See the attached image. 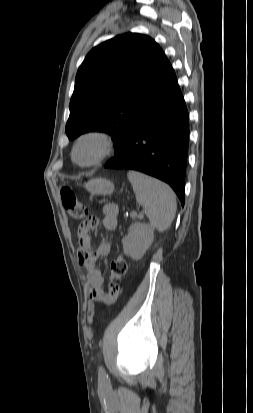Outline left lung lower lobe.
I'll return each mask as SVG.
<instances>
[{
  "mask_svg": "<svg viewBox=\"0 0 253 413\" xmlns=\"http://www.w3.org/2000/svg\"><path fill=\"white\" fill-rule=\"evenodd\" d=\"M189 115L170 66L129 121L119 154L105 168L133 169L168 183L184 205Z\"/></svg>",
  "mask_w": 253,
  "mask_h": 413,
  "instance_id": "left-lung-lower-lobe-1",
  "label": "left lung lower lobe"
}]
</instances>
